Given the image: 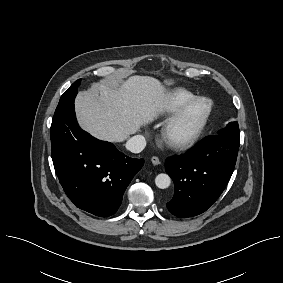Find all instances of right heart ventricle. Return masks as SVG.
Segmentation results:
<instances>
[{"mask_svg":"<svg viewBox=\"0 0 283 283\" xmlns=\"http://www.w3.org/2000/svg\"><path fill=\"white\" fill-rule=\"evenodd\" d=\"M195 97L196 96L187 89L175 88L162 98L158 106V112L162 116L172 115Z\"/></svg>","mask_w":283,"mask_h":283,"instance_id":"e07e8e85","label":"right heart ventricle"}]
</instances>
